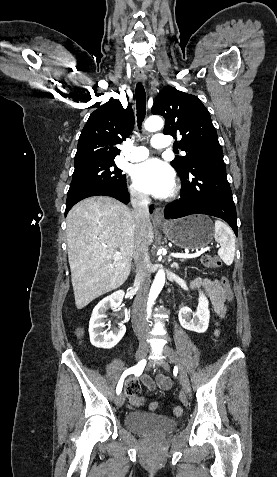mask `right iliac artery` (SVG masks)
<instances>
[{"label": "right iliac artery", "mask_w": 277, "mask_h": 477, "mask_svg": "<svg viewBox=\"0 0 277 477\" xmlns=\"http://www.w3.org/2000/svg\"><path fill=\"white\" fill-rule=\"evenodd\" d=\"M145 365H146V360H141L136 366L131 367V368L127 369L126 371H124V373L122 374V376H121V378L118 382L117 388H116L117 394H120L121 391H122L123 381H124L125 377L128 376L131 373L141 374Z\"/></svg>", "instance_id": "obj_1"}]
</instances>
